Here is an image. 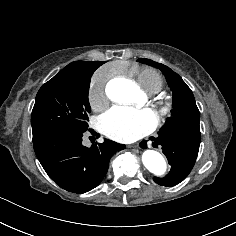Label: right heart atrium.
Returning a JSON list of instances; mask_svg holds the SVG:
<instances>
[{"label":"right heart atrium","instance_id":"1","mask_svg":"<svg viewBox=\"0 0 236 236\" xmlns=\"http://www.w3.org/2000/svg\"><path fill=\"white\" fill-rule=\"evenodd\" d=\"M111 77L107 68H101L94 73L90 81L89 99L96 108H104L109 103L107 86Z\"/></svg>","mask_w":236,"mask_h":236}]
</instances>
